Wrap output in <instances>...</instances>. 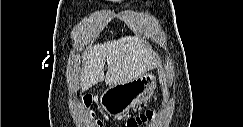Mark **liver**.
Wrapping results in <instances>:
<instances>
[{
    "label": "liver",
    "instance_id": "1",
    "mask_svg": "<svg viewBox=\"0 0 243 127\" xmlns=\"http://www.w3.org/2000/svg\"><path fill=\"white\" fill-rule=\"evenodd\" d=\"M107 61L108 71L104 74ZM157 65L154 52L137 36L90 46L81 71V88L85 91L103 82L109 86L122 84L140 77Z\"/></svg>",
    "mask_w": 243,
    "mask_h": 127
}]
</instances>
